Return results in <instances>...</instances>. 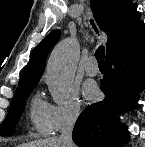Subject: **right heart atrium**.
<instances>
[{"label": "right heart atrium", "instance_id": "1", "mask_svg": "<svg viewBox=\"0 0 145 147\" xmlns=\"http://www.w3.org/2000/svg\"><path fill=\"white\" fill-rule=\"evenodd\" d=\"M81 114V102L77 92L72 90L61 103L47 104L46 118L49 132L56 133L74 124Z\"/></svg>", "mask_w": 145, "mask_h": 147}]
</instances>
